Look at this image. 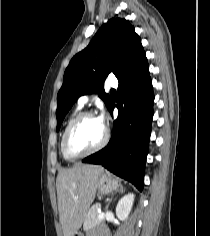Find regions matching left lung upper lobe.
<instances>
[{
    "label": "left lung upper lobe",
    "mask_w": 210,
    "mask_h": 236,
    "mask_svg": "<svg viewBox=\"0 0 210 236\" xmlns=\"http://www.w3.org/2000/svg\"><path fill=\"white\" fill-rule=\"evenodd\" d=\"M145 61L141 39L130 22L110 19L98 30L90 44L71 59L65 70L63 85L57 95V131L81 95L100 92L99 97L109 109L112 100L103 88L106 76L113 72L119 82L123 81Z\"/></svg>",
    "instance_id": "left-lung-upper-lobe-1"
}]
</instances>
